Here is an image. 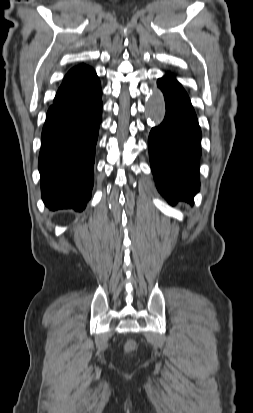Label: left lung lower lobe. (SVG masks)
Masks as SVG:
<instances>
[{"instance_id":"0a47b994","label":"left lung lower lobe","mask_w":253,"mask_h":413,"mask_svg":"<svg viewBox=\"0 0 253 413\" xmlns=\"http://www.w3.org/2000/svg\"><path fill=\"white\" fill-rule=\"evenodd\" d=\"M166 114L148 139L149 158L156 186L171 205L192 202L199 191L201 130L186 91L167 73L157 81Z\"/></svg>"}]
</instances>
